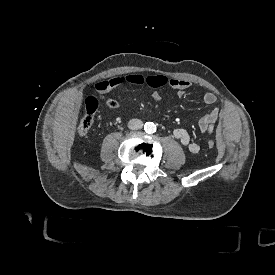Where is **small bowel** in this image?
I'll use <instances>...</instances> for the list:
<instances>
[{"mask_svg": "<svg viewBox=\"0 0 275 275\" xmlns=\"http://www.w3.org/2000/svg\"><path fill=\"white\" fill-rule=\"evenodd\" d=\"M142 85L147 84L152 88H160L163 86H170L171 88L177 91L179 96L185 94V92L190 88L191 83L187 80L177 79V78H168L163 74H153L148 77H144L138 73H131L127 75L117 76L115 78L103 81L98 84V89L100 91H110L116 87L121 85ZM152 99L155 102H159L161 100V95L159 92L154 91L152 94ZM203 102L209 106H215L217 103V97L212 92L204 93ZM219 117V109L215 106L212 110H210L206 115H204L198 123L199 130L202 133H211L213 131L214 125L217 122ZM174 138H176L183 146L187 147V149L196 154L199 152L200 147L196 142H193L189 132L183 128H177L173 132Z\"/></svg>", "mask_w": 275, "mask_h": 275, "instance_id": "c3829d8e", "label": "small bowel"}]
</instances>
